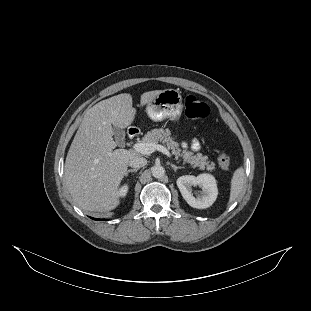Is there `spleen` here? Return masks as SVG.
Here are the masks:
<instances>
[{"instance_id":"spleen-1","label":"spleen","mask_w":311,"mask_h":311,"mask_svg":"<svg viewBox=\"0 0 311 311\" xmlns=\"http://www.w3.org/2000/svg\"><path fill=\"white\" fill-rule=\"evenodd\" d=\"M245 173L243 168L235 170L231 180V191L229 202H233L241 193L244 186Z\"/></svg>"}]
</instances>
